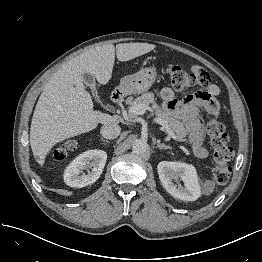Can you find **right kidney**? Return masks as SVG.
Wrapping results in <instances>:
<instances>
[{"instance_id": "1", "label": "right kidney", "mask_w": 262, "mask_h": 262, "mask_svg": "<svg viewBox=\"0 0 262 262\" xmlns=\"http://www.w3.org/2000/svg\"><path fill=\"white\" fill-rule=\"evenodd\" d=\"M107 153L103 150H88L77 156L65 169L64 181L68 186L82 188L99 179L105 163ZM85 168H91L87 174Z\"/></svg>"}]
</instances>
